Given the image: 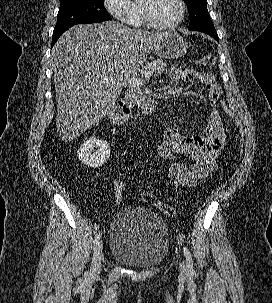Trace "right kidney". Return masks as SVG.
<instances>
[{
  "mask_svg": "<svg viewBox=\"0 0 272 303\" xmlns=\"http://www.w3.org/2000/svg\"><path fill=\"white\" fill-rule=\"evenodd\" d=\"M77 155L79 160L88 167L98 168L109 158L110 147L106 141L92 136L78 149Z\"/></svg>",
  "mask_w": 272,
  "mask_h": 303,
  "instance_id": "1",
  "label": "right kidney"
}]
</instances>
